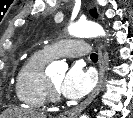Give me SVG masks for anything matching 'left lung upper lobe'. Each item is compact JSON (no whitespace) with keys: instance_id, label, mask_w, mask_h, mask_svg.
<instances>
[{"instance_id":"left-lung-upper-lobe-1","label":"left lung upper lobe","mask_w":133,"mask_h":118,"mask_svg":"<svg viewBox=\"0 0 133 118\" xmlns=\"http://www.w3.org/2000/svg\"><path fill=\"white\" fill-rule=\"evenodd\" d=\"M90 14H91L93 17H96V16H97L96 10H91V11H90Z\"/></svg>"}]
</instances>
